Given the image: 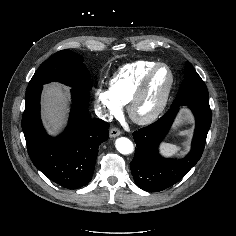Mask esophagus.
Instances as JSON below:
<instances>
[{"mask_svg": "<svg viewBox=\"0 0 236 236\" xmlns=\"http://www.w3.org/2000/svg\"><path fill=\"white\" fill-rule=\"evenodd\" d=\"M109 135L111 138H115L121 135V131L118 128L114 127L110 129Z\"/></svg>", "mask_w": 236, "mask_h": 236, "instance_id": "34e87169", "label": "esophagus"}]
</instances>
